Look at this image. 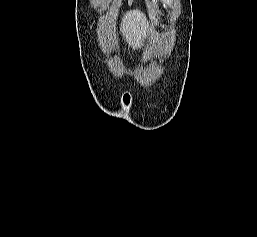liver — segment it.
I'll use <instances>...</instances> for the list:
<instances>
[{"mask_svg": "<svg viewBox=\"0 0 257 237\" xmlns=\"http://www.w3.org/2000/svg\"><path fill=\"white\" fill-rule=\"evenodd\" d=\"M121 32L124 40L133 49L142 45L143 39L149 32L154 33L153 30L149 31V24L146 17L138 10L129 11L124 15L121 23Z\"/></svg>", "mask_w": 257, "mask_h": 237, "instance_id": "1", "label": "liver"}]
</instances>
